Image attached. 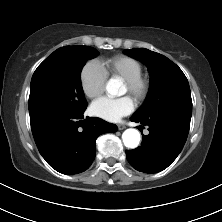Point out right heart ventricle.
I'll use <instances>...</instances> for the list:
<instances>
[{
  "label": "right heart ventricle",
  "instance_id": "1",
  "mask_svg": "<svg viewBox=\"0 0 222 222\" xmlns=\"http://www.w3.org/2000/svg\"><path fill=\"white\" fill-rule=\"evenodd\" d=\"M106 76L130 80L142 74L141 63L130 56L115 55L102 59L99 63Z\"/></svg>",
  "mask_w": 222,
  "mask_h": 222
}]
</instances>
